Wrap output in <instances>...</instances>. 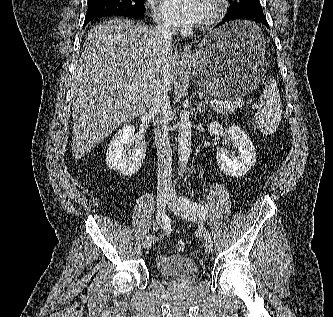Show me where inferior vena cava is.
Returning a JSON list of instances; mask_svg holds the SVG:
<instances>
[{
  "label": "inferior vena cava",
  "instance_id": "1",
  "mask_svg": "<svg viewBox=\"0 0 333 317\" xmlns=\"http://www.w3.org/2000/svg\"><path fill=\"white\" fill-rule=\"evenodd\" d=\"M155 32L165 44H171L175 27L168 22H158ZM150 113L153 117L155 144L158 156L157 186L172 188V150L168 138V122L171 114L168 91L162 82H157L152 98Z\"/></svg>",
  "mask_w": 333,
  "mask_h": 317
}]
</instances>
